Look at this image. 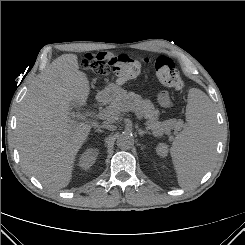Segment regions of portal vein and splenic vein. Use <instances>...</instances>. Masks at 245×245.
Here are the masks:
<instances>
[{"label":"portal vein and splenic vein","instance_id":"obj_1","mask_svg":"<svg viewBox=\"0 0 245 245\" xmlns=\"http://www.w3.org/2000/svg\"><path fill=\"white\" fill-rule=\"evenodd\" d=\"M128 111L134 112L135 115H136V117H137V119L138 120H142V115H141V113H140V111L138 109H136V108H130ZM100 116L101 117H104L105 116V113L104 112L100 113Z\"/></svg>","mask_w":245,"mask_h":245}]
</instances>
